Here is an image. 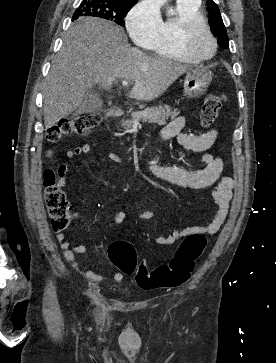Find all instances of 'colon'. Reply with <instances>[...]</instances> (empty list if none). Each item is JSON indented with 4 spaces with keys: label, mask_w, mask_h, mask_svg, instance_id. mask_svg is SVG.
Segmentation results:
<instances>
[{
    "label": "colon",
    "mask_w": 276,
    "mask_h": 363,
    "mask_svg": "<svg viewBox=\"0 0 276 363\" xmlns=\"http://www.w3.org/2000/svg\"><path fill=\"white\" fill-rule=\"evenodd\" d=\"M224 99L220 94H211L205 98L200 112L201 124L204 127H209L216 121ZM99 122V114L85 113L48 128L46 138L50 142H56L64 135L87 137ZM43 184L51 227L55 232H62L67 228L73 214L64 191L57 183V172L53 169L45 170ZM205 246L206 239L203 235H189L179 244L168 264L154 269H149L144 261L138 262L136 250L130 242L111 243L108 247V257L122 273H135L136 284L142 289L175 288L189 280L195 261Z\"/></svg>",
    "instance_id": "obj_1"
}]
</instances>
